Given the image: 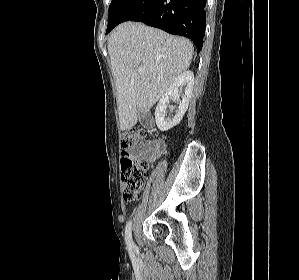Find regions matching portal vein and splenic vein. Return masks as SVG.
Here are the masks:
<instances>
[{
	"instance_id": "1",
	"label": "portal vein and splenic vein",
	"mask_w": 299,
	"mask_h": 280,
	"mask_svg": "<svg viewBox=\"0 0 299 280\" xmlns=\"http://www.w3.org/2000/svg\"><path fill=\"white\" fill-rule=\"evenodd\" d=\"M138 72H139L140 74H143V73H144V70H143L142 68H139V69H138Z\"/></svg>"
}]
</instances>
